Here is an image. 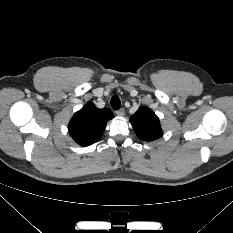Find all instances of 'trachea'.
Returning <instances> with one entry per match:
<instances>
[{"label":"trachea","instance_id":"obj_1","mask_svg":"<svg viewBox=\"0 0 233 233\" xmlns=\"http://www.w3.org/2000/svg\"><path fill=\"white\" fill-rule=\"evenodd\" d=\"M110 103L114 110H119L121 106V101L118 96H113Z\"/></svg>","mask_w":233,"mask_h":233}]
</instances>
